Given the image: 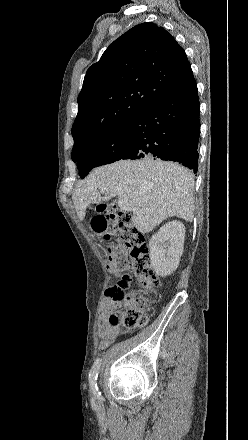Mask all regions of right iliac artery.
Segmentation results:
<instances>
[{
	"instance_id": "obj_1",
	"label": "right iliac artery",
	"mask_w": 248,
	"mask_h": 440,
	"mask_svg": "<svg viewBox=\"0 0 248 440\" xmlns=\"http://www.w3.org/2000/svg\"><path fill=\"white\" fill-rule=\"evenodd\" d=\"M100 365H101V359L98 358L94 362L92 369L90 370V373H89L90 388H91V391L93 392V394L97 398L100 397V392H99L98 386H97V377H98V371H99Z\"/></svg>"
}]
</instances>
